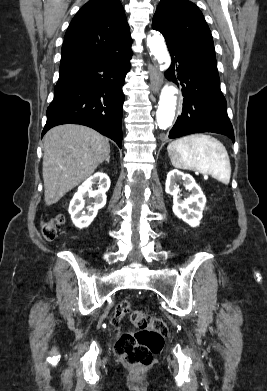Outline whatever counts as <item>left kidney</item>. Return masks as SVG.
Segmentation results:
<instances>
[{"instance_id":"5707ae66","label":"left kidney","mask_w":267,"mask_h":391,"mask_svg":"<svg viewBox=\"0 0 267 391\" xmlns=\"http://www.w3.org/2000/svg\"><path fill=\"white\" fill-rule=\"evenodd\" d=\"M180 179L184 181L185 188L191 192V195L185 199H181L179 195L180 189L177 181ZM165 192L173 196L174 214L191 227H197L202 219L206 197L193 177L176 169L171 170L167 174Z\"/></svg>"}]
</instances>
